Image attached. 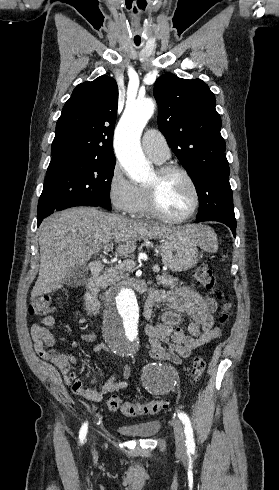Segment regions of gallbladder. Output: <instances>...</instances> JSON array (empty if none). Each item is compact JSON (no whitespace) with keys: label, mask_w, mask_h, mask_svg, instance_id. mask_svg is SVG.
Masks as SVG:
<instances>
[{"label":"gallbladder","mask_w":279,"mask_h":490,"mask_svg":"<svg viewBox=\"0 0 279 490\" xmlns=\"http://www.w3.org/2000/svg\"><path fill=\"white\" fill-rule=\"evenodd\" d=\"M87 278V266H75V268H70L68 276L65 278V284L72 286V288H79V286L86 284Z\"/></svg>","instance_id":"bac80fb5"}]
</instances>
